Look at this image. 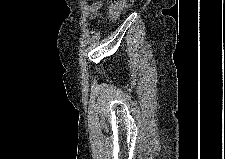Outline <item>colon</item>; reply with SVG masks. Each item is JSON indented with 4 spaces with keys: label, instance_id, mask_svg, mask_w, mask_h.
<instances>
[{
    "label": "colon",
    "instance_id": "1",
    "mask_svg": "<svg viewBox=\"0 0 225 159\" xmlns=\"http://www.w3.org/2000/svg\"><path fill=\"white\" fill-rule=\"evenodd\" d=\"M126 4H127V2H126V1L117 2V3H116V7H115V9H116V10H119V9H121V8L125 7V6H126Z\"/></svg>",
    "mask_w": 225,
    "mask_h": 159
}]
</instances>
